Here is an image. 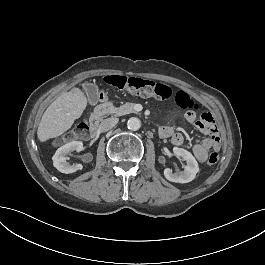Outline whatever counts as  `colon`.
Segmentation results:
<instances>
[{"mask_svg":"<svg viewBox=\"0 0 265 265\" xmlns=\"http://www.w3.org/2000/svg\"><path fill=\"white\" fill-rule=\"evenodd\" d=\"M104 82L118 90L128 92L139 97H154L159 100H170L187 111L197 113L199 111L198 103L195 102L186 92L175 91L169 85L162 82H155L138 76H125L120 74L108 75ZM72 133L67 134V138H71ZM219 160V154L212 152L207 158L208 164H216Z\"/></svg>","mask_w":265,"mask_h":265,"instance_id":"1","label":"colon"}]
</instances>
